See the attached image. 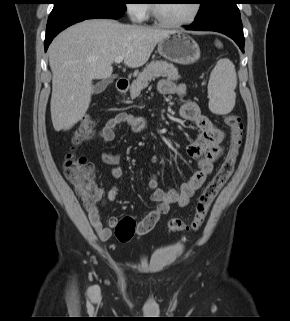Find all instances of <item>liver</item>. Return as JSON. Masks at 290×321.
Segmentation results:
<instances>
[{"label": "liver", "instance_id": "1", "mask_svg": "<svg viewBox=\"0 0 290 321\" xmlns=\"http://www.w3.org/2000/svg\"><path fill=\"white\" fill-rule=\"evenodd\" d=\"M172 32L108 19L86 20L61 32L48 49L54 129L69 130L82 119L91 102L92 81L109 78L116 57L138 68Z\"/></svg>", "mask_w": 290, "mask_h": 321}]
</instances>
